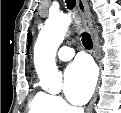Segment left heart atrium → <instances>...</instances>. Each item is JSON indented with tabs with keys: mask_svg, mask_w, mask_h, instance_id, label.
I'll return each mask as SVG.
<instances>
[{
	"mask_svg": "<svg viewBox=\"0 0 121 113\" xmlns=\"http://www.w3.org/2000/svg\"><path fill=\"white\" fill-rule=\"evenodd\" d=\"M95 69L87 59H78L65 71L64 90L67 99L74 104H84L95 86Z\"/></svg>",
	"mask_w": 121,
	"mask_h": 113,
	"instance_id": "39dd6f15",
	"label": "left heart atrium"
}]
</instances>
